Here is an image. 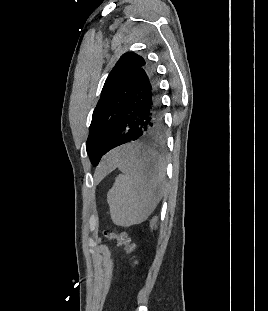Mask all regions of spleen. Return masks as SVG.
<instances>
[{"label": "spleen", "mask_w": 268, "mask_h": 311, "mask_svg": "<svg viewBox=\"0 0 268 311\" xmlns=\"http://www.w3.org/2000/svg\"><path fill=\"white\" fill-rule=\"evenodd\" d=\"M112 166L122 174L107 193L112 221L122 227L140 224L151 215L166 186V166L146 144H119Z\"/></svg>", "instance_id": "obj_1"}]
</instances>
